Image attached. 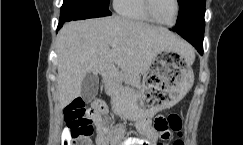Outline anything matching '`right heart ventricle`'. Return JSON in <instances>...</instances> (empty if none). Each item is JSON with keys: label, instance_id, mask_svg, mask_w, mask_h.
Here are the masks:
<instances>
[{"label": "right heart ventricle", "instance_id": "right-heart-ventricle-1", "mask_svg": "<svg viewBox=\"0 0 243 145\" xmlns=\"http://www.w3.org/2000/svg\"><path fill=\"white\" fill-rule=\"evenodd\" d=\"M116 12L135 22L151 24L152 20L146 13L144 0H114Z\"/></svg>", "mask_w": 243, "mask_h": 145}]
</instances>
